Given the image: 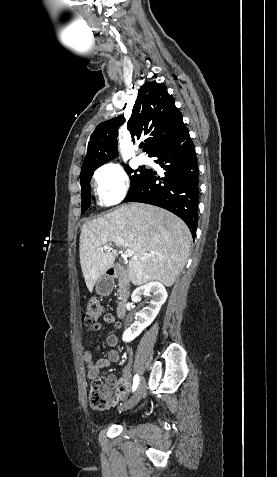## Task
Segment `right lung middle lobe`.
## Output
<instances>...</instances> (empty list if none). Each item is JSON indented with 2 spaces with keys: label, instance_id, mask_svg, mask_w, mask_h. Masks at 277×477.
I'll list each match as a JSON object with an SVG mask.
<instances>
[{
  "label": "right lung middle lobe",
  "instance_id": "dd1d6c3e",
  "mask_svg": "<svg viewBox=\"0 0 277 477\" xmlns=\"http://www.w3.org/2000/svg\"><path fill=\"white\" fill-rule=\"evenodd\" d=\"M98 167H90L86 168L84 170H81L80 173V183L82 187L81 191V197H82V205H81V211L84 213L88 206L90 205V179L93 175V171L96 170ZM126 172L131 175L130 176V189L128 191L131 192L136 186H138L142 180L144 179L147 169H137V170H132L130 167L125 166ZM137 172H139L137 174ZM134 173V174H133Z\"/></svg>",
  "mask_w": 277,
  "mask_h": 477
}]
</instances>
